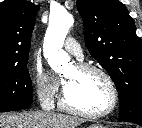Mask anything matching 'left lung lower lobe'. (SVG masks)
<instances>
[{
    "label": "left lung lower lobe",
    "instance_id": "obj_1",
    "mask_svg": "<svg viewBox=\"0 0 142 128\" xmlns=\"http://www.w3.org/2000/svg\"><path fill=\"white\" fill-rule=\"evenodd\" d=\"M127 122L136 123V124L142 126V121H138V120H129V121H127Z\"/></svg>",
    "mask_w": 142,
    "mask_h": 128
}]
</instances>
